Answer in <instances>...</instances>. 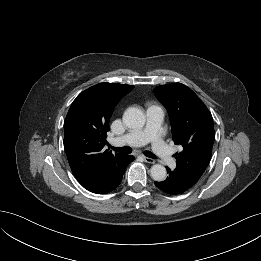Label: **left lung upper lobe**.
I'll return each instance as SVG.
<instances>
[{
  "instance_id": "obj_1",
  "label": "left lung upper lobe",
  "mask_w": 261,
  "mask_h": 261,
  "mask_svg": "<svg viewBox=\"0 0 261 261\" xmlns=\"http://www.w3.org/2000/svg\"><path fill=\"white\" fill-rule=\"evenodd\" d=\"M154 92L168 110L175 144L183 147L180 153L174 155L177 163L175 169L196 183L212 155L215 131L211 113L184 84L161 85Z\"/></svg>"
}]
</instances>
